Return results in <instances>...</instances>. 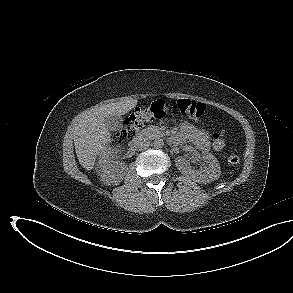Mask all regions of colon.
Here are the masks:
<instances>
[{
    "instance_id": "1",
    "label": "colon",
    "mask_w": 293,
    "mask_h": 293,
    "mask_svg": "<svg viewBox=\"0 0 293 293\" xmlns=\"http://www.w3.org/2000/svg\"><path fill=\"white\" fill-rule=\"evenodd\" d=\"M172 112L190 119H199L205 114L206 107L204 104L190 99H179L172 107L168 106L161 100L154 101L147 107L135 109L134 112L124 121L122 129L115 134V139L117 141L132 139L137 135L146 122L155 119H162ZM213 145L215 149H221L224 147V131L218 132L214 135ZM228 161L231 165L236 166L240 163V158L236 154H231Z\"/></svg>"
}]
</instances>
